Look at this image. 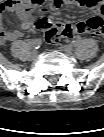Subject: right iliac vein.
I'll return each mask as SVG.
<instances>
[{"label":"right iliac vein","mask_w":104,"mask_h":137,"mask_svg":"<svg viewBox=\"0 0 104 137\" xmlns=\"http://www.w3.org/2000/svg\"><path fill=\"white\" fill-rule=\"evenodd\" d=\"M37 56H38V51H36V50L33 51L30 55L31 59H35V58H37Z\"/></svg>","instance_id":"right-iliac-vein-1"}]
</instances>
